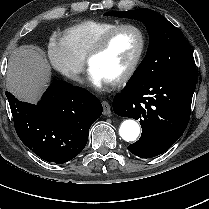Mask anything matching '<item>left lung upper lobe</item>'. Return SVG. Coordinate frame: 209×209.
I'll return each instance as SVG.
<instances>
[{
	"label": "left lung upper lobe",
	"mask_w": 209,
	"mask_h": 209,
	"mask_svg": "<svg viewBox=\"0 0 209 209\" xmlns=\"http://www.w3.org/2000/svg\"><path fill=\"white\" fill-rule=\"evenodd\" d=\"M105 15L139 20L147 28L149 33L147 54L132 77L152 79L195 65L192 50L183 33L159 13L141 8L107 12Z\"/></svg>",
	"instance_id": "5c2ea615"
}]
</instances>
